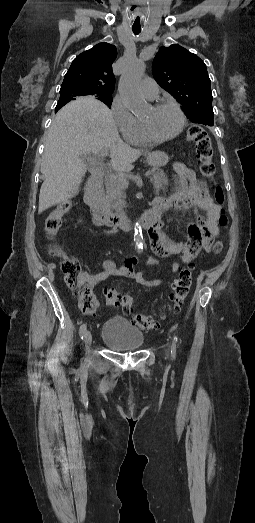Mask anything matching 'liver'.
Instances as JSON below:
<instances>
[{
  "instance_id": "obj_1",
  "label": "liver",
  "mask_w": 255,
  "mask_h": 523,
  "mask_svg": "<svg viewBox=\"0 0 255 523\" xmlns=\"http://www.w3.org/2000/svg\"><path fill=\"white\" fill-rule=\"evenodd\" d=\"M110 152L116 172H131L141 150L122 142L112 114L93 96L78 98L57 112L47 132L41 174L45 180L39 194L38 214L73 198L86 174L80 156L87 152ZM164 154V152H161ZM166 162L168 158L164 154Z\"/></svg>"
}]
</instances>
